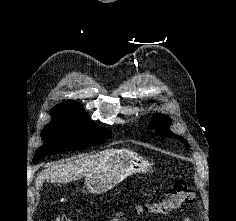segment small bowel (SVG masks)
Listing matches in <instances>:
<instances>
[{
    "label": "small bowel",
    "instance_id": "obj_1",
    "mask_svg": "<svg viewBox=\"0 0 236 221\" xmlns=\"http://www.w3.org/2000/svg\"><path fill=\"white\" fill-rule=\"evenodd\" d=\"M124 219H125L124 213L119 211L110 219V221H124ZM184 221H191V219L186 218Z\"/></svg>",
    "mask_w": 236,
    "mask_h": 221
}]
</instances>
